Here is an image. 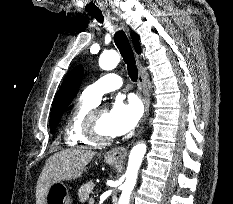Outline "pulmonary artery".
<instances>
[{
    "instance_id": "pulmonary-artery-1",
    "label": "pulmonary artery",
    "mask_w": 233,
    "mask_h": 204,
    "mask_svg": "<svg viewBox=\"0 0 233 204\" xmlns=\"http://www.w3.org/2000/svg\"><path fill=\"white\" fill-rule=\"evenodd\" d=\"M122 87V79L119 75L110 73L102 76L93 84L89 85L82 96L98 104L103 94L117 90Z\"/></svg>"
}]
</instances>
